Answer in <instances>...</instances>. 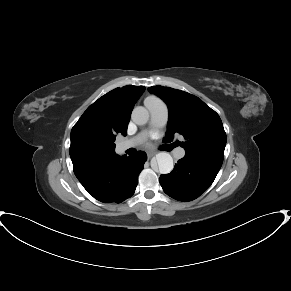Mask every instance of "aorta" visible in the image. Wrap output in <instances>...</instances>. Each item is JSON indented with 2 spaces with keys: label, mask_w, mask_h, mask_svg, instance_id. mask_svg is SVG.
<instances>
[{
  "label": "aorta",
  "mask_w": 291,
  "mask_h": 291,
  "mask_svg": "<svg viewBox=\"0 0 291 291\" xmlns=\"http://www.w3.org/2000/svg\"><path fill=\"white\" fill-rule=\"evenodd\" d=\"M132 120L137 125H144L149 120V112L145 107L137 106L133 109ZM156 162L158 165V170L161 174L170 173L173 168V158L167 152H160L156 155Z\"/></svg>",
  "instance_id": "aorta-1"
}]
</instances>
